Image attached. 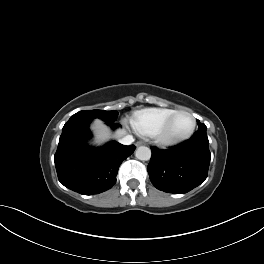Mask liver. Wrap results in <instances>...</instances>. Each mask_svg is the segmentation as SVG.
<instances>
[{"label": "liver", "mask_w": 264, "mask_h": 264, "mask_svg": "<svg viewBox=\"0 0 264 264\" xmlns=\"http://www.w3.org/2000/svg\"><path fill=\"white\" fill-rule=\"evenodd\" d=\"M93 129L95 133L96 142H104L110 136L109 128L101 121L96 119L93 123ZM125 134V130H117L116 136H122Z\"/></svg>", "instance_id": "6515ba94"}]
</instances>
